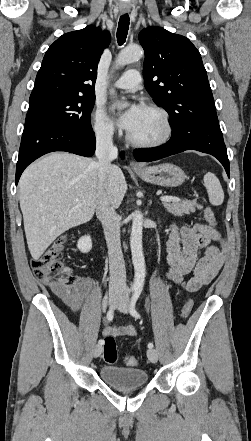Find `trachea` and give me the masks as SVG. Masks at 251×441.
<instances>
[{
	"mask_svg": "<svg viewBox=\"0 0 251 441\" xmlns=\"http://www.w3.org/2000/svg\"><path fill=\"white\" fill-rule=\"evenodd\" d=\"M129 29V15L126 13L122 15L119 19L118 29H117V42L122 45L127 38Z\"/></svg>",
	"mask_w": 251,
	"mask_h": 441,
	"instance_id": "3493384b",
	"label": "trachea"
}]
</instances>
